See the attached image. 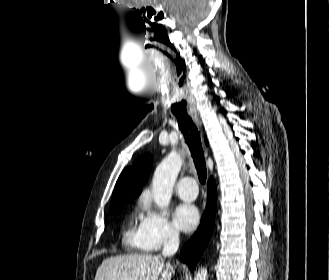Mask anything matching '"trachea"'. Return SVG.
Here are the masks:
<instances>
[{"mask_svg":"<svg viewBox=\"0 0 329 280\" xmlns=\"http://www.w3.org/2000/svg\"><path fill=\"white\" fill-rule=\"evenodd\" d=\"M174 115L177 118L179 128L184 135L185 141L189 146L199 181L201 184H204L207 178V170L200 135L188 114Z\"/></svg>","mask_w":329,"mask_h":280,"instance_id":"trachea-1","label":"trachea"}]
</instances>
